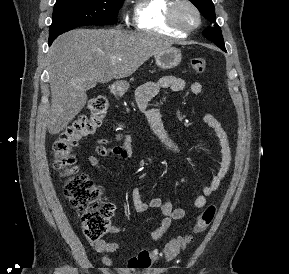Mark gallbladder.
Returning a JSON list of instances; mask_svg holds the SVG:
<instances>
[{
    "label": "gallbladder",
    "instance_id": "obj_1",
    "mask_svg": "<svg viewBox=\"0 0 289 274\" xmlns=\"http://www.w3.org/2000/svg\"><path fill=\"white\" fill-rule=\"evenodd\" d=\"M96 86V83H91V84H89V89L90 88H93V87H95Z\"/></svg>",
    "mask_w": 289,
    "mask_h": 274
}]
</instances>
